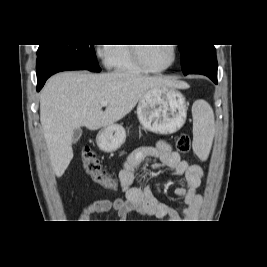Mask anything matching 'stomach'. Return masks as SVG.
<instances>
[{
    "label": "stomach",
    "instance_id": "stomach-1",
    "mask_svg": "<svg viewBox=\"0 0 267 267\" xmlns=\"http://www.w3.org/2000/svg\"><path fill=\"white\" fill-rule=\"evenodd\" d=\"M137 116L145 130L162 135L175 133L186 120V99L175 87L152 89L139 100ZM125 139L123 126L112 124L98 133L96 142L102 151L115 152Z\"/></svg>",
    "mask_w": 267,
    "mask_h": 267
}]
</instances>
